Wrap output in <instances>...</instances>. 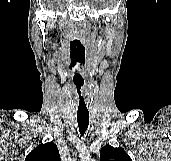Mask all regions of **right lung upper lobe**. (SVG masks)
Segmentation results:
<instances>
[{
	"instance_id": "1",
	"label": "right lung upper lobe",
	"mask_w": 171,
	"mask_h": 161,
	"mask_svg": "<svg viewBox=\"0 0 171 161\" xmlns=\"http://www.w3.org/2000/svg\"><path fill=\"white\" fill-rule=\"evenodd\" d=\"M25 161H61L57 146L48 142L37 146L31 151Z\"/></svg>"
}]
</instances>
